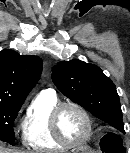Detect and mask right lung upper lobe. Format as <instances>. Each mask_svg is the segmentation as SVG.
<instances>
[{"instance_id":"right-lung-upper-lobe-1","label":"right lung upper lobe","mask_w":130,"mask_h":153,"mask_svg":"<svg viewBox=\"0 0 130 153\" xmlns=\"http://www.w3.org/2000/svg\"><path fill=\"white\" fill-rule=\"evenodd\" d=\"M42 60L34 55L0 51V102L22 104L39 80Z\"/></svg>"}]
</instances>
